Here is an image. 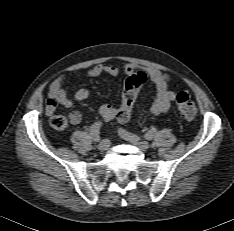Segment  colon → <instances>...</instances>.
Wrapping results in <instances>:
<instances>
[{
  "label": "colon",
  "mask_w": 234,
  "mask_h": 231,
  "mask_svg": "<svg viewBox=\"0 0 234 231\" xmlns=\"http://www.w3.org/2000/svg\"><path fill=\"white\" fill-rule=\"evenodd\" d=\"M146 79V75L143 72H138L126 78L121 97V106L117 115L119 123L125 124L131 119L133 105ZM175 101L178 111L185 119L192 120L195 117L197 113L196 104L189 94L179 92L176 94ZM51 122L57 130H63L67 127V119L62 115L53 116Z\"/></svg>",
  "instance_id": "colon-1"
}]
</instances>
